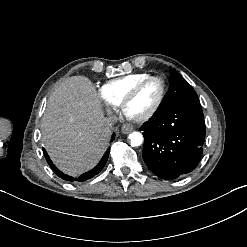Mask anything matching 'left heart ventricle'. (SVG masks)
<instances>
[{
	"label": "left heart ventricle",
	"mask_w": 247,
	"mask_h": 247,
	"mask_svg": "<svg viewBox=\"0 0 247 247\" xmlns=\"http://www.w3.org/2000/svg\"><path fill=\"white\" fill-rule=\"evenodd\" d=\"M161 95V85L158 81L146 82L138 91L135 99L130 102L126 110L139 118L150 112L157 104Z\"/></svg>",
	"instance_id": "b2bd125f"
}]
</instances>
